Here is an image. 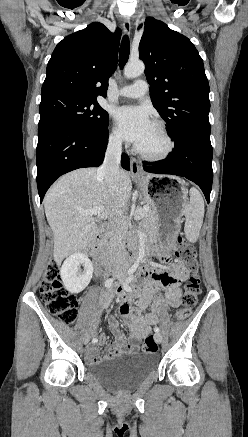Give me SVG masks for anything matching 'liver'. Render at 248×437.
Returning <instances> with one entry per match:
<instances>
[{
    "mask_svg": "<svg viewBox=\"0 0 248 437\" xmlns=\"http://www.w3.org/2000/svg\"><path fill=\"white\" fill-rule=\"evenodd\" d=\"M96 168H82L62 176L47 192L44 209L53 231L56 263L88 248L98 226L93 215L80 210L103 207L100 218L114 217L130 198L132 182L129 173L120 170L119 181L111 189L104 178L97 176Z\"/></svg>",
    "mask_w": 248,
    "mask_h": 437,
    "instance_id": "obj_1",
    "label": "liver"
}]
</instances>
